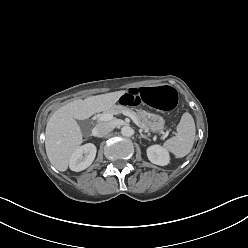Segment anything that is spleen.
<instances>
[{
  "mask_svg": "<svg viewBox=\"0 0 248 248\" xmlns=\"http://www.w3.org/2000/svg\"><path fill=\"white\" fill-rule=\"evenodd\" d=\"M195 133L194 119L188 112H185L177 126L176 136L168 139L164 143V147L177 158H182L191 151L195 141Z\"/></svg>",
  "mask_w": 248,
  "mask_h": 248,
  "instance_id": "1",
  "label": "spleen"
}]
</instances>
